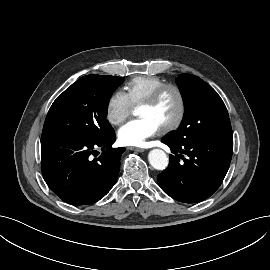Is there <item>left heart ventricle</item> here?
<instances>
[{"label": "left heart ventricle", "instance_id": "obj_1", "mask_svg": "<svg viewBox=\"0 0 270 270\" xmlns=\"http://www.w3.org/2000/svg\"><path fill=\"white\" fill-rule=\"evenodd\" d=\"M178 111V98L173 90H166L154 105H141L140 117L153 119L160 128L171 123Z\"/></svg>", "mask_w": 270, "mask_h": 270}]
</instances>
